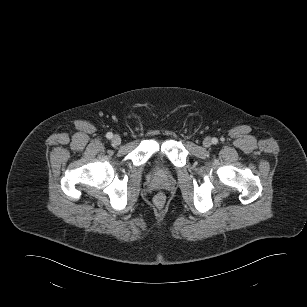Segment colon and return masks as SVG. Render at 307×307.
I'll use <instances>...</instances> for the list:
<instances>
[{
    "instance_id": "obj_1",
    "label": "colon",
    "mask_w": 307,
    "mask_h": 307,
    "mask_svg": "<svg viewBox=\"0 0 307 307\" xmlns=\"http://www.w3.org/2000/svg\"><path fill=\"white\" fill-rule=\"evenodd\" d=\"M155 201H156L157 204L161 205V204H163L164 201H165V196H164L163 194L159 193V194L156 196Z\"/></svg>"
}]
</instances>
